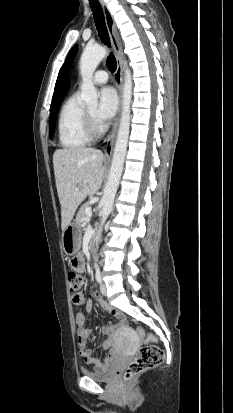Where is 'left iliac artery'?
<instances>
[{
    "label": "left iliac artery",
    "mask_w": 233,
    "mask_h": 413,
    "mask_svg": "<svg viewBox=\"0 0 233 413\" xmlns=\"http://www.w3.org/2000/svg\"><path fill=\"white\" fill-rule=\"evenodd\" d=\"M95 269H96V280L99 282V283H101V273H100V269H99V267L96 265L95 266Z\"/></svg>",
    "instance_id": "left-iliac-artery-1"
}]
</instances>
